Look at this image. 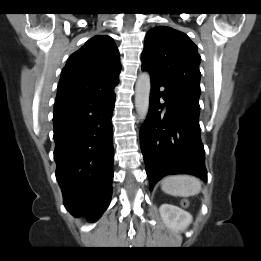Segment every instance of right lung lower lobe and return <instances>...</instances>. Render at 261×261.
Returning <instances> with one entry per match:
<instances>
[{"label":"right lung lower lobe","mask_w":261,"mask_h":261,"mask_svg":"<svg viewBox=\"0 0 261 261\" xmlns=\"http://www.w3.org/2000/svg\"><path fill=\"white\" fill-rule=\"evenodd\" d=\"M114 88L84 93L54 104V159L64 205L96 221L112 193Z\"/></svg>","instance_id":"98d812e1"}]
</instances>
